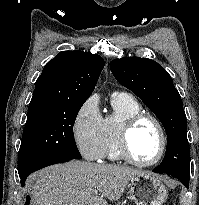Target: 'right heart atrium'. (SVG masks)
<instances>
[{
	"instance_id": "obj_1",
	"label": "right heart atrium",
	"mask_w": 199,
	"mask_h": 205,
	"mask_svg": "<svg viewBox=\"0 0 199 205\" xmlns=\"http://www.w3.org/2000/svg\"><path fill=\"white\" fill-rule=\"evenodd\" d=\"M72 130L75 145L85 159L99 161L103 158L102 117L97 97L91 96L81 105Z\"/></svg>"
}]
</instances>
